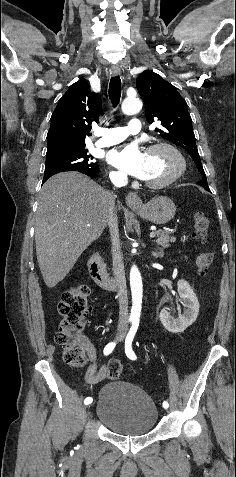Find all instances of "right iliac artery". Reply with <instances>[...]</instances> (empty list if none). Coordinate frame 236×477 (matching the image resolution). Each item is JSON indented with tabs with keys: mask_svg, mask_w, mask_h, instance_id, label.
Here are the masks:
<instances>
[{
	"mask_svg": "<svg viewBox=\"0 0 236 477\" xmlns=\"http://www.w3.org/2000/svg\"><path fill=\"white\" fill-rule=\"evenodd\" d=\"M115 346H116V342H115V341L108 343V344L105 346L104 350H103L104 355H109V354L114 350ZM92 402H93L92 397H87V398L84 400V404H85V405H89V404H91Z\"/></svg>",
	"mask_w": 236,
	"mask_h": 477,
	"instance_id": "obj_1",
	"label": "right iliac artery"
}]
</instances>
